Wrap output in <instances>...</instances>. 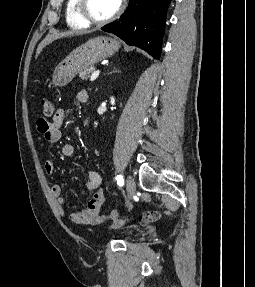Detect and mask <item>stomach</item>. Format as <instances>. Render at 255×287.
I'll use <instances>...</instances> for the list:
<instances>
[{
    "mask_svg": "<svg viewBox=\"0 0 255 287\" xmlns=\"http://www.w3.org/2000/svg\"><path fill=\"white\" fill-rule=\"evenodd\" d=\"M119 48L120 44L117 38H106V36L91 38L69 54L63 70L55 72L53 76L55 86H66L77 76L78 72H82L85 68H91L106 58H111Z\"/></svg>",
    "mask_w": 255,
    "mask_h": 287,
    "instance_id": "1",
    "label": "stomach"
}]
</instances>
